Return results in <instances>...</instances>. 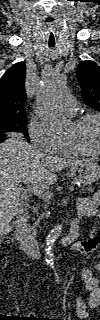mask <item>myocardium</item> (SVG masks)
<instances>
[{
    "mask_svg": "<svg viewBox=\"0 0 100 320\" xmlns=\"http://www.w3.org/2000/svg\"><path fill=\"white\" fill-rule=\"evenodd\" d=\"M89 120H95L98 123L99 126V135H100V117L97 114H84L78 118H76L73 122V124L76 127L81 126L85 122ZM65 140L67 143L74 148L76 151L85 154V155H97L100 153V140H99V146L96 150H90L85 147H83L76 139L71 137H65Z\"/></svg>",
    "mask_w": 100,
    "mask_h": 320,
    "instance_id": "myocardium-1",
    "label": "myocardium"
}]
</instances>
